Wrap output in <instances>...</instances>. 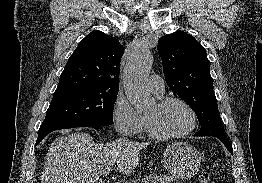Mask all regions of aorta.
<instances>
[{"label": "aorta", "mask_w": 262, "mask_h": 183, "mask_svg": "<svg viewBox=\"0 0 262 183\" xmlns=\"http://www.w3.org/2000/svg\"><path fill=\"white\" fill-rule=\"evenodd\" d=\"M152 63L150 50L142 49L131 57L124 69L125 94L137 112L148 110L154 103L146 85V77Z\"/></svg>", "instance_id": "aorta-1"}]
</instances>
